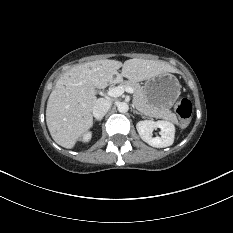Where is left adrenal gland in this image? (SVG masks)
<instances>
[{
    "mask_svg": "<svg viewBox=\"0 0 233 233\" xmlns=\"http://www.w3.org/2000/svg\"><path fill=\"white\" fill-rule=\"evenodd\" d=\"M132 111H133L134 114H138V115H141V116L143 115L142 113L138 112V111L135 110V109H133Z\"/></svg>",
    "mask_w": 233,
    "mask_h": 233,
    "instance_id": "left-adrenal-gland-1",
    "label": "left adrenal gland"
}]
</instances>
